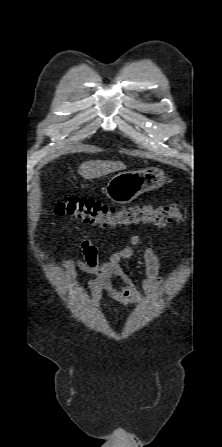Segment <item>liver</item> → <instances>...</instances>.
I'll list each match as a JSON object with an SVG mask.
<instances>
[{"label": "liver", "mask_w": 222, "mask_h": 447, "mask_svg": "<svg viewBox=\"0 0 222 447\" xmlns=\"http://www.w3.org/2000/svg\"><path fill=\"white\" fill-rule=\"evenodd\" d=\"M125 168L126 166L120 161L94 160L82 163L78 173L84 179H94Z\"/></svg>", "instance_id": "liver-1"}]
</instances>
